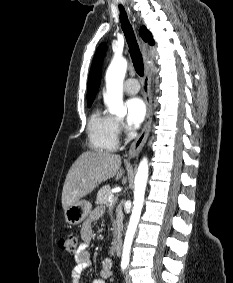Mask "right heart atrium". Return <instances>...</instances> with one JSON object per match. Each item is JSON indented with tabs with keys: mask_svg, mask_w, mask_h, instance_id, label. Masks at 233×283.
I'll list each match as a JSON object with an SVG mask.
<instances>
[{
	"mask_svg": "<svg viewBox=\"0 0 233 283\" xmlns=\"http://www.w3.org/2000/svg\"><path fill=\"white\" fill-rule=\"evenodd\" d=\"M117 131H118V133L122 132V125L119 121H117Z\"/></svg>",
	"mask_w": 233,
	"mask_h": 283,
	"instance_id": "right-heart-atrium-1",
	"label": "right heart atrium"
}]
</instances>
